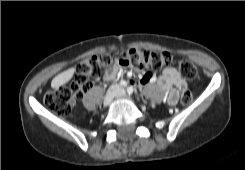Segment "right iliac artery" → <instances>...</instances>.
Wrapping results in <instances>:
<instances>
[{"label": "right iliac artery", "instance_id": "1", "mask_svg": "<svg viewBox=\"0 0 245 170\" xmlns=\"http://www.w3.org/2000/svg\"><path fill=\"white\" fill-rule=\"evenodd\" d=\"M119 85H120L121 87H126V86H127V82L124 81V80H122V81H120Z\"/></svg>", "mask_w": 245, "mask_h": 170}]
</instances>
